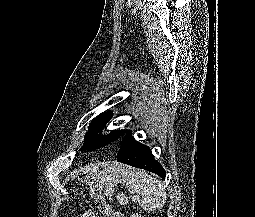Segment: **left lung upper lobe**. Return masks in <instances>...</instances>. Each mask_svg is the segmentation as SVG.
<instances>
[{"label": "left lung upper lobe", "instance_id": "obj_1", "mask_svg": "<svg viewBox=\"0 0 255 217\" xmlns=\"http://www.w3.org/2000/svg\"><path fill=\"white\" fill-rule=\"evenodd\" d=\"M111 117L112 114L107 111L91 122L88 133L85 134V142L80 150L86 151L99 149L121 138L126 130H112L108 135H99L97 137V134L104 129Z\"/></svg>", "mask_w": 255, "mask_h": 217}]
</instances>
